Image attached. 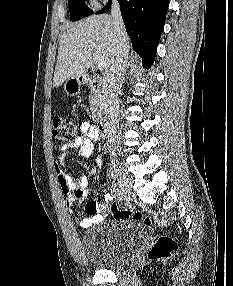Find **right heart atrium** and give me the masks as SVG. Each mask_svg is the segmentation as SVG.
<instances>
[{
	"instance_id": "right-heart-atrium-1",
	"label": "right heart atrium",
	"mask_w": 233,
	"mask_h": 286,
	"mask_svg": "<svg viewBox=\"0 0 233 286\" xmlns=\"http://www.w3.org/2000/svg\"><path fill=\"white\" fill-rule=\"evenodd\" d=\"M92 5L94 6H99L100 2L105 1V0H89Z\"/></svg>"
}]
</instances>
